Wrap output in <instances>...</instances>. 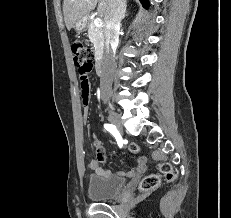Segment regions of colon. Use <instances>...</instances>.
I'll list each match as a JSON object with an SVG mask.
<instances>
[{
  "label": "colon",
  "mask_w": 231,
  "mask_h": 218,
  "mask_svg": "<svg viewBox=\"0 0 231 218\" xmlns=\"http://www.w3.org/2000/svg\"><path fill=\"white\" fill-rule=\"evenodd\" d=\"M71 50L73 53L74 63L79 68V66H84L86 63L94 62L93 51L84 45V43L76 39L71 44ZM130 151L137 152L139 150L138 146L131 144L129 146ZM160 173L166 178V180L171 181L174 178L173 168L169 163L159 164ZM161 183V175L150 174L146 176L140 183L139 189L142 192H149L156 189Z\"/></svg>",
  "instance_id": "1"
}]
</instances>
